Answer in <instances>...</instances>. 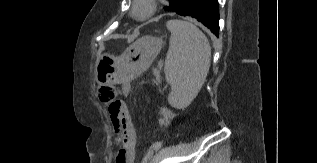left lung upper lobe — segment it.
<instances>
[{
	"label": "left lung upper lobe",
	"instance_id": "5c2ea615",
	"mask_svg": "<svg viewBox=\"0 0 317 163\" xmlns=\"http://www.w3.org/2000/svg\"><path fill=\"white\" fill-rule=\"evenodd\" d=\"M169 1V5L165 6L164 9L170 12H174L176 10V8L178 7L179 3L181 2V0H168Z\"/></svg>",
	"mask_w": 317,
	"mask_h": 163
}]
</instances>
